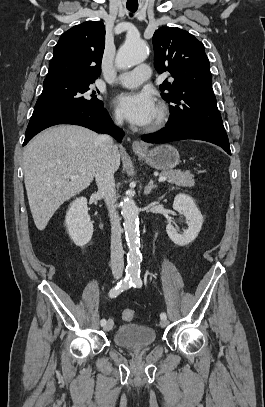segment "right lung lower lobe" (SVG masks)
<instances>
[{
  "instance_id": "obj_1",
  "label": "right lung lower lobe",
  "mask_w": 265,
  "mask_h": 407,
  "mask_svg": "<svg viewBox=\"0 0 265 407\" xmlns=\"http://www.w3.org/2000/svg\"><path fill=\"white\" fill-rule=\"evenodd\" d=\"M57 124H75L84 126L98 133L111 134L119 142L122 141L124 132L116 128L107 113L102 108H83L75 111L64 112L33 125H28L23 146L26 145L40 131Z\"/></svg>"
}]
</instances>
